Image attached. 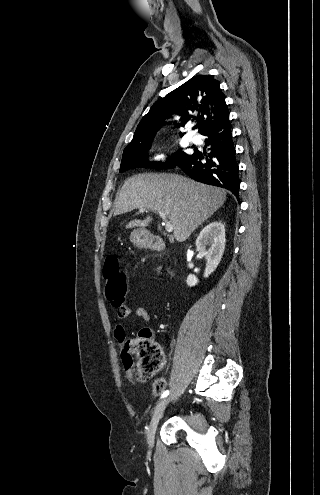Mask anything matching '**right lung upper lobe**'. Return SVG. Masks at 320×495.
<instances>
[{
    "mask_svg": "<svg viewBox=\"0 0 320 495\" xmlns=\"http://www.w3.org/2000/svg\"><path fill=\"white\" fill-rule=\"evenodd\" d=\"M219 81L211 75H195L183 85L160 98L142 118L132 141L125 150L152 143L163 118L172 114L181 116V122L174 121V128L186 123L197 122L201 134L218 126L229 118L225 95ZM180 133V136H183Z\"/></svg>",
    "mask_w": 320,
    "mask_h": 495,
    "instance_id": "1",
    "label": "right lung upper lobe"
}]
</instances>
